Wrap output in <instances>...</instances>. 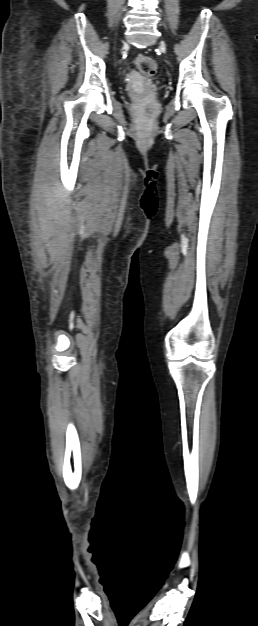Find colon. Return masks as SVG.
<instances>
[{"label": "colon", "mask_w": 258, "mask_h": 626, "mask_svg": "<svg viewBox=\"0 0 258 626\" xmlns=\"http://www.w3.org/2000/svg\"><path fill=\"white\" fill-rule=\"evenodd\" d=\"M138 70L145 76L151 77L154 75L157 69V64L154 59L149 56L140 54L135 60Z\"/></svg>", "instance_id": "colon-1"}]
</instances>
